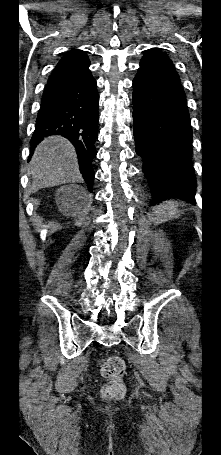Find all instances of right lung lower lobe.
I'll use <instances>...</instances> for the list:
<instances>
[{
    "label": "right lung lower lobe",
    "instance_id": "obj_1",
    "mask_svg": "<svg viewBox=\"0 0 221 455\" xmlns=\"http://www.w3.org/2000/svg\"><path fill=\"white\" fill-rule=\"evenodd\" d=\"M89 65L88 56L81 50H72L59 61L43 92L30 143L32 154L47 136L67 138L76 149L80 172L92 191L99 97Z\"/></svg>",
    "mask_w": 221,
    "mask_h": 455
}]
</instances>
